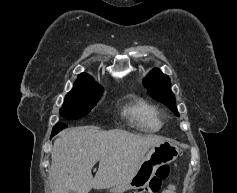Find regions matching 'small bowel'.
<instances>
[{
    "label": "small bowel",
    "mask_w": 237,
    "mask_h": 193,
    "mask_svg": "<svg viewBox=\"0 0 237 193\" xmlns=\"http://www.w3.org/2000/svg\"><path fill=\"white\" fill-rule=\"evenodd\" d=\"M178 192V184L177 183H171L169 184L162 193H177Z\"/></svg>",
    "instance_id": "1"
}]
</instances>
